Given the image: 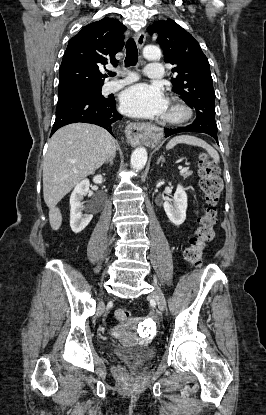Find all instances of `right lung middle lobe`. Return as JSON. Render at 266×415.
<instances>
[{"label":"right lung middle lobe","instance_id":"obj_1","mask_svg":"<svg viewBox=\"0 0 266 415\" xmlns=\"http://www.w3.org/2000/svg\"><path fill=\"white\" fill-rule=\"evenodd\" d=\"M63 99L104 100L105 98L101 94V87H93V88L79 89L75 91L58 94V100H63Z\"/></svg>","mask_w":266,"mask_h":415}]
</instances>
